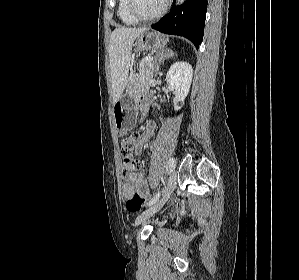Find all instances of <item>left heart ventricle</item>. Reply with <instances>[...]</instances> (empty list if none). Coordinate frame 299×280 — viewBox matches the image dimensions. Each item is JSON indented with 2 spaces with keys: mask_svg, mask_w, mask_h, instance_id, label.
<instances>
[{
  "mask_svg": "<svg viewBox=\"0 0 299 280\" xmlns=\"http://www.w3.org/2000/svg\"><path fill=\"white\" fill-rule=\"evenodd\" d=\"M137 11L143 16H151L157 13L165 0H135Z\"/></svg>",
  "mask_w": 299,
  "mask_h": 280,
  "instance_id": "left-heart-ventricle-1",
  "label": "left heart ventricle"
}]
</instances>
